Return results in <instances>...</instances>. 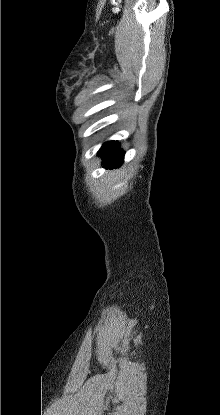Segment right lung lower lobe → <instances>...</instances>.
<instances>
[{"label": "right lung lower lobe", "mask_w": 220, "mask_h": 415, "mask_svg": "<svg viewBox=\"0 0 220 415\" xmlns=\"http://www.w3.org/2000/svg\"><path fill=\"white\" fill-rule=\"evenodd\" d=\"M99 155L103 156L106 167H118L123 163L124 152L121 151L117 141H109L103 144L99 151Z\"/></svg>", "instance_id": "right-lung-lower-lobe-1"}]
</instances>
